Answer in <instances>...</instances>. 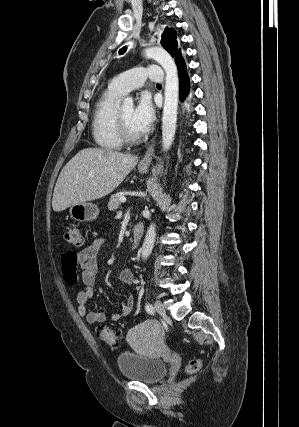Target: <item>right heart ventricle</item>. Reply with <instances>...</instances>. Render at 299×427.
<instances>
[{"label": "right heart ventricle", "instance_id": "right-heart-ventricle-1", "mask_svg": "<svg viewBox=\"0 0 299 427\" xmlns=\"http://www.w3.org/2000/svg\"><path fill=\"white\" fill-rule=\"evenodd\" d=\"M122 93L109 85L98 98L92 118V136L96 145L106 151L123 146L116 125V110Z\"/></svg>", "mask_w": 299, "mask_h": 427}]
</instances>
